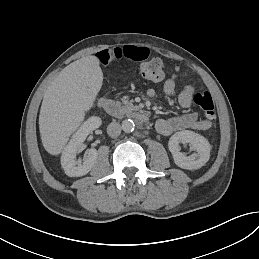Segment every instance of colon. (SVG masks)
<instances>
[{"instance_id": "5ec220e1", "label": "colon", "mask_w": 259, "mask_h": 259, "mask_svg": "<svg viewBox=\"0 0 259 259\" xmlns=\"http://www.w3.org/2000/svg\"><path fill=\"white\" fill-rule=\"evenodd\" d=\"M139 75L142 79L158 84L165 78V65L160 58H153L139 66ZM174 75H178L177 69ZM194 102L204 111L205 118L214 120L215 106L212 96L209 92H200L194 96Z\"/></svg>"}]
</instances>
